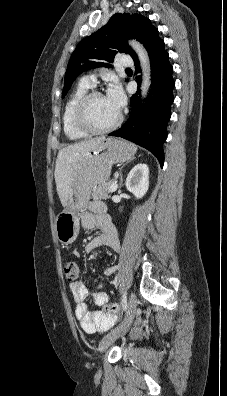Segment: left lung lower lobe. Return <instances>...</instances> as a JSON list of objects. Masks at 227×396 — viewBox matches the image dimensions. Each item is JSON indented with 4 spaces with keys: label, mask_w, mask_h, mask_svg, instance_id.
Returning a JSON list of instances; mask_svg holds the SVG:
<instances>
[{
    "label": "left lung lower lobe",
    "mask_w": 227,
    "mask_h": 396,
    "mask_svg": "<svg viewBox=\"0 0 227 396\" xmlns=\"http://www.w3.org/2000/svg\"><path fill=\"white\" fill-rule=\"evenodd\" d=\"M147 51L150 57L152 84L146 103L143 105L137 96L140 94L138 88L137 93L130 98L132 109L129 119L109 136L122 137L148 149L163 167V143L167 138L175 81L172 78L173 67L169 63L164 41L160 38L154 40ZM133 60L135 68L140 70L137 56ZM136 81L140 86L139 77H136Z\"/></svg>",
    "instance_id": "left-lung-lower-lobe-1"
}]
</instances>
